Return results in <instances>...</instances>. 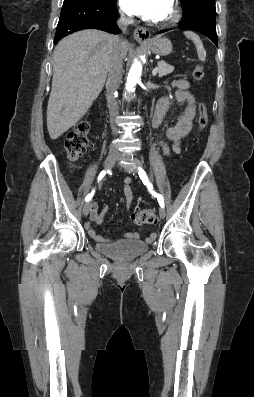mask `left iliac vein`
<instances>
[{"label": "left iliac vein", "mask_w": 254, "mask_h": 397, "mask_svg": "<svg viewBox=\"0 0 254 397\" xmlns=\"http://www.w3.org/2000/svg\"><path fill=\"white\" fill-rule=\"evenodd\" d=\"M121 158L126 159V160H128L129 162L131 161L130 158L127 157V156H126V157H125V156H121ZM137 165H138V164L132 163V162H131V163L128 164L127 168H128V170H129L130 172H132V173L134 174V173H137ZM159 215H160L161 218H164V217H165L166 212H165V209H164L163 207H160V208H159Z\"/></svg>", "instance_id": "4c4485c4"}]
</instances>
